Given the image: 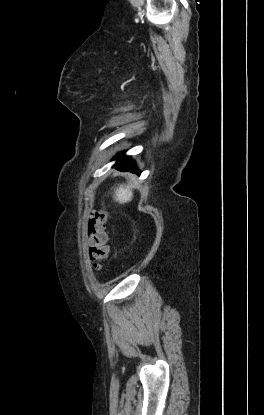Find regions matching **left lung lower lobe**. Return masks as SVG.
<instances>
[{
    "label": "left lung lower lobe",
    "mask_w": 264,
    "mask_h": 415,
    "mask_svg": "<svg viewBox=\"0 0 264 415\" xmlns=\"http://www.w3.org/2000/svg\"><path fill=\"white\" fill-rule=\"evenodd\" d=\"M124 152L119 153L114 159H117L115 167L121 171H132L139 174L134 163L131 161L129 156H123Z\"/></svg>",
    "instance_id": "0a47b994"
}]
</instances>
